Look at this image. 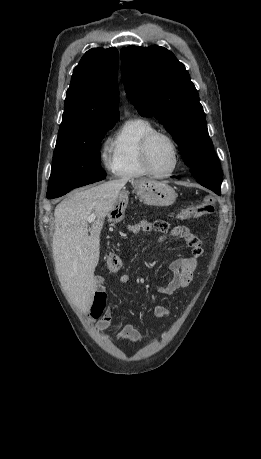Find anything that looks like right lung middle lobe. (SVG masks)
Returning <instances> with one entry per match:
<instances>
[{
	"label": "right lung middle lobe",
	"mask_w": 261,
	"mask_h": 459,
	"mask_svg": "<svg viewBox=\"0 0 261 459\" xmlns=\"http://www.w3.org/2000/svg\"><path fill=\"white\" fill-rule=\"evenodd\" d=\"M115 123H104L57 139L53 154L47 198L60 197L70 190L106 177L101 167L99 146Z\"/></svg>",
	"instance_id": "1"
}]
</instances>
